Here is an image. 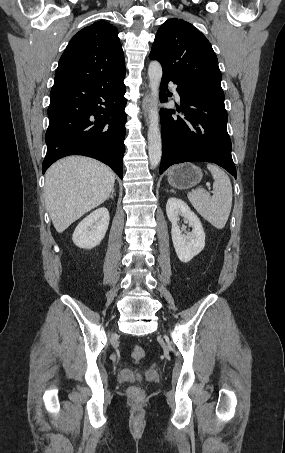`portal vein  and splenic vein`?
<instances>
[{
	"label": "portal vein and splenic vein",
	"instance_id": "18ae733b",
	"mask_svg": "<svg viewBox=\"0 0 285 453\" xmlns=\"http://www.w3.org/2000/svg\"><path fill=\"white\" fill-rule=\"evenodd\" d=\"M207 186H208V188L210 189V186H209V184H207Z\"/></svg>",
	"mask_w": 285,
	"mask_h": 453
}]
</instances>
